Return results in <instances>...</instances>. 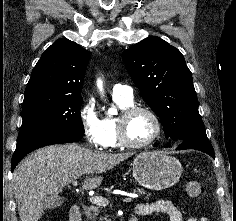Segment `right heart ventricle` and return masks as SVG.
<instances>
[{"instance_id": "obj_1", "label": "right heart ventricle", "mask_w": 236, "mask_h": 221, "mask_svg": "<svg viewBox=\"0 0 236 221\" xmlns=\"http://www.w3.org/2000/svg\"><path fill=\"white\" fill-rule=\"evenodd\" d=\"M113 98L115 103L121 110L128 106L133 105V99L125 100L121 98H115V97ZM102 123L106 135L105 147H111V148L119 147L121 144L119 143L117 134V117L107 115L103 118Z\"/></svg>"}]
</instances>
